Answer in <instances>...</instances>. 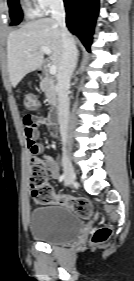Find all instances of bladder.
I'll list each match as a JSON object with an SVG mask.
<instances>
[{
    "instance_id": "obj_1",
    "label": "bladder",
    "mask_w": 134,
    "mask_h": 281,
    "mask_svg": "<svg viewBox=\"0 0 134 281\" xmlns=\"http://www.w3.org/2000/svg\"><path fill=\"white\" fill-rule=\"evenodd\" d=\"M84 226V220L74 210L62 205L34 208L29 219L31 236L51 245L73 241Z\"/></svg>"
}]
</instances>
